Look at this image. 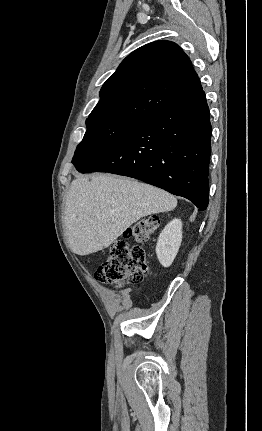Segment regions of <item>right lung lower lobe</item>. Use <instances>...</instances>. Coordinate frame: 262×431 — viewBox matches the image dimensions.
Wrapping results in <instances>:
<instances>
[{"label":"right lung lower lobe","instance_id":"98d812e1","mask_svg":"<svg viewBox=\"0 0 262 431\" xmlns=\"http://www.w3.org/2000/svg\"><path fill=\"white\" fill-rule=\"evenodd\" d=\"M209 108L204 91L135 124L82 173L109 172L133 177L208 205L211 154Z\"/></svg>","mask_w":262,"mask_h":431}]
</instances>
